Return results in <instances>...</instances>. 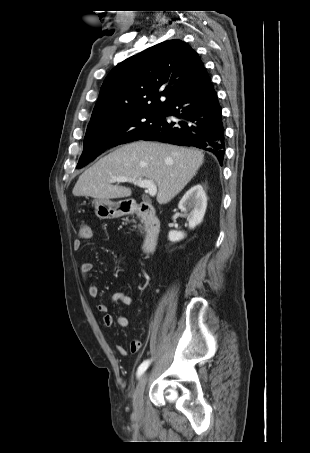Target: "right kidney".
Listing matches in <instances>:
<instances>
[{
  "mask_svg": "<svg viewBox=\"0 0 310 453\" xmlns=\"http://www.w3.org/2000/svg\"><path fill=\"white\" fill-rule=\"evenodd\" d=\"M207 207V196L200 184L191 187L182 197L178 204V208L187 213L189 228L194 229L203 220ZM185 237V233L172 230L169 232L168 238L171 242H177Z\"/></svg>",
  "mask_w": 310,
  "mask_h": 453,
  "instance_id": "1",
  "label": "right kidney"
}]
</instances>
